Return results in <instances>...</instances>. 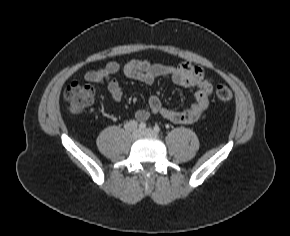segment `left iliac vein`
<instances>
[{"mask_svg":"<svg viewBox=\"0 0 290 236\" xmlns=\"http://www.w3.org/2000/svg\"><path fill=\"white\" fill-rule=\"evenodd\" d=\"M143 134L146 135V136H149V137H157L158 136L157 132H155L151 128L145 129L144 132H143Z\"/></svg>","mask_w":290,"mask_h":236,"instance_id":"1","label":"left iliac vein"}]
</instances>
